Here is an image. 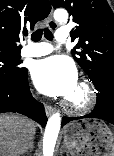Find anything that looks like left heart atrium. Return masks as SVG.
<instances>
[{
	"mask_svg": "<svg viewBox=\"0 0 114 156\" xmlns=\"http://www.w3.org/2000/svg\"><path fill=\"white\" fill-rule=\"evenodd\" d=\"M36 88L48 96L69 98L77 86V71L74 63L64 56H51L36 61L31 68Z\"/></svg>",
	"mask_w": 114,
	"mask_h": 156,
	"instance_id": "1",
	"label": "left heart atrium"
}]
</instances>
